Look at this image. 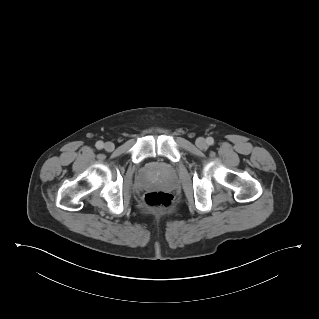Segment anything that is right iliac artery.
<instances>
[{
  "mask_svg": "<svg viewBox=\"0 0 319 319\" xmlns=\"http://www.w3.org/2000/svg\"><path fill=\"white\" fill-rule=\"evenodd\" d=\"M103 146H104V143H103L102 141H98V142L96 143L97 149H102Z\"/></svg>",
  "mask_w": 319,
  "mask_h": 319,
  "instance_id": "82829eb1",
  "label": "right iliac artery"
}]
</instances>
